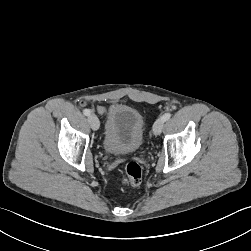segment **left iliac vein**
Returning <instances> with one entry per match:
<instances>
[{
	"instance_id": "left-iliac-vein-1",
	"label": "left iliac vein",
	"mask_w": 251,
	"mask_h": 251,
	"mask_svg": "<svg viewBox=\"0 0 251 251\" xmlns=\"http://www.w3.org/2000/svg\"><path fill=\"white\" fill-rule=\"evenodd\" d=\"M163 126L164 120L162 118L157 119L153 125L154 135H159L162 132Z\"/></svg>"
}]
</instances>
